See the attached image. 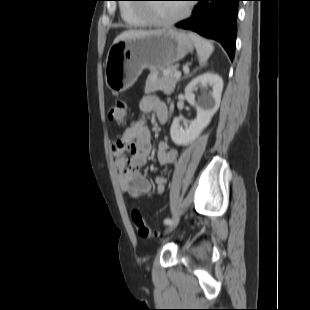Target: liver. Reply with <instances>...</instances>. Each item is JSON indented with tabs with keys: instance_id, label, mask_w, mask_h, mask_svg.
<instances>
[{
	"instance_id": "1",
	"label": "liver",
	"mask_w": 310,
	"mask_h": 310,
	"mask_svg": "<svg viewBox=\"0 0 310 310\" xmlns=\"http://www.w3.org/2000/svg\"><path fill=\"white\" fill-rule=\"evenodd\" d=\"M160 32V30H156V31H144V30H127V31H124L122 32L121 34H119L114 42V43H117L119 41H122V40H127V39H132V38H136V37H142V36H147V35H152V34H155V33H158Z\"/></svg>"
}]
</instances>
